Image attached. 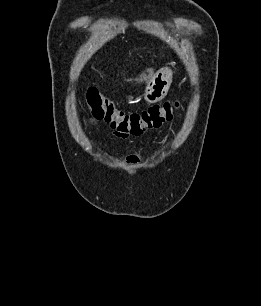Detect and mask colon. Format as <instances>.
<instances>
[{
    "instance_id": "5ec220e1",
    "label": "colon",
    "mask_w": 261,
    "mask_h": 306,
    "mask_svg": "<svg viewBox=\"0 0 261 306\" xmlns=\"http://www.w3.org/2000/svg\"><path fill=\"white\" fill-rule=\"evenodd\" d=\"M87 113L91 122H105L110 125L119 137L142 135L150 129L160 128L171 121L179 102H165L148 107L141 112H124L113 102L103 97L95 88L86 93Z\"/></svg>"
}]
</instances>
